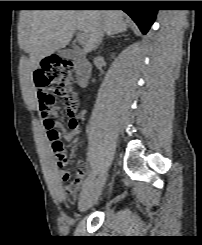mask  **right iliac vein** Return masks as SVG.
Listing matches in <instances>:
<instances>
[{
	"label": "right iliac vein",
	"mask_w": 202,
	"mask_h": 245,
	"mask_svg": "<svg viewBox=\"0 0 202 245\" xmlns=\"http://www.w3.org/2000/svg\"><path fill=\"white\" fill-rule=\"evenodd\" d=\"M105 178L102 177L84 190L79 200V210L81 212L89 209L99 198Z\"/></svg>",
	"instance_id": "63e3f726"
}]
</instances>
